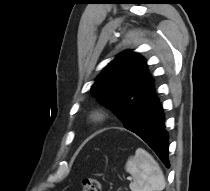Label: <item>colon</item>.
<instances>
[{
	"mask_svg": "<svg viewBox=\"0 0 210 191\" xmlns=\"http://www.w3.org/2000/svg\"><path fill=\"white\" fill-rule=\"evenodd\" d=\"M82 191H102L101 182L94 177L84 178L82 181Z\"/></svg>",
	"mask_w": 210,
	"mask_h": 191,
	"instance_id": "colon-1",
	"label": "colon"
}]
</instances>
